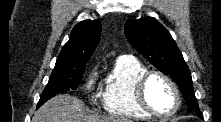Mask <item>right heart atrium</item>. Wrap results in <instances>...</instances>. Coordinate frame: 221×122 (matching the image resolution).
Here are the masks:
<instances>
[{"instance_id":"right-heart-atrium-1","label":"right heart atrium","mask_w":221,"mask_h":122,"mask_svg":"<svg viewBox=\"0 0 221 122\" xmlns=\"http://www.w3.org/2000/svg\"><path fill=\"white\" fill-rule=\"evenodd\" d=\"M92 78H93V76H91V77L89 78V83H91V82H92Z\"/></svg>"}]
</instances>
